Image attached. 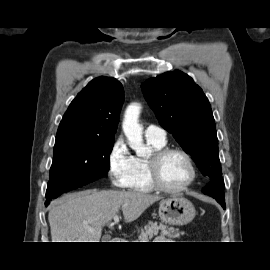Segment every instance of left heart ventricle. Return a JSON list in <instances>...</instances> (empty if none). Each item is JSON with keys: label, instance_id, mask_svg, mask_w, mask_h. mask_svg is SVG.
<instances>
[{"label": "left heart ventricle", "instance_id": "1", "mask_svg": "<svg viewBox=\"0 0 270 270\" xmlns=\"http://www.w3.org/2000/svg\"><path fill=\"white\" fill-rule=\"evenodd\" d=\"M159 175L164 185L175 188L188 181L190 169L182 155L171 153L160 162Z\"/></svg>", "mask_w": 270, "mask_h": 270}]
</instances>
